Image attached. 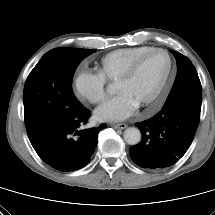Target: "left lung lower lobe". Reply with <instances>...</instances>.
I'll return each instance as SVG.
<instances>
[{"label":"left lung lower lobe","mask_w":215,"mask_h":215,"mask_svg":"<svg viewBox=\"0 0 215 215\" xmlns=\"http://www.w3.org/2000/svg\"><path fill=\"white\" fill-rule=\"evenodd\" d=\"M200 120V110L182 101H171L153 117L136 123L141 141L130 147L135 164L161 169L175 164L188 150Z\"/></svg>","instance_id":"left-lung-lower-lobe-1"}]
</instances>
